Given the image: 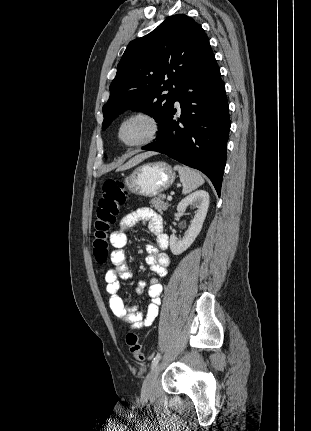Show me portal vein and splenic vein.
I'll use <instances>...</instances> for the list:
<instances>
[{"label": "portal vein and splenic vein", "mask_w": 311, "mask_h": 431, "mask_svg": "<svg viewBox=\"0 0 311 431\" xmlns=\"http://www.w3.org/2000/svg\"><path fill=\"white\" fill-rule=\"evenodd\" d=\"M167 200H168V202H171L172 196H167Z\"/></svg>", "instance_id": "portal-vein-and-splenic-vein-1"}]
</instances>
